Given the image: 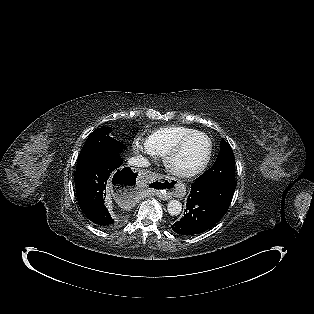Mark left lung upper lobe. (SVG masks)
I'll use <instances>...</instances> for the list:
<instances>
[{
    "label": "left lung upper lobe",
    "mask_w": 314,
    "mask_h": 314,
    "mask_svg": "<svg viewBox=\"0 0 314 314\" xmlns=\"http://www.w3.org/2000/svg\"><path fill=\"white\" fill-rule=\"evenodd\" d=\"M235 181V158L231 146L222 140L220 152L214 165L196 181Z\"/></svg>",
    "instance_id": "obj_1"
}]
</instances>
